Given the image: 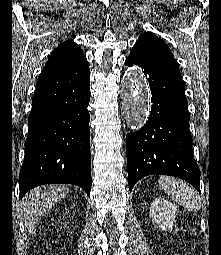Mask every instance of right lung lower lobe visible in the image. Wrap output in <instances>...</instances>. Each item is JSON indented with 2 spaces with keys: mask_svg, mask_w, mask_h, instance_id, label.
Masks as SVG:
<instances>
[{
  "mask_svg": "<svg viewBox=\"0 0 221 255\" xmlns=\"http://www.w3.org/2000/svg\"><path fill=\"white\" fill-rule=\"evenodd\" d=\"M90 69L86 57L40 77L28 120L19 174L20 199L30 189L68 183L91 190Z\"/></svg>",
  "mask_w": 221,
  "mask_h": 255,
  "instance_id": "98d812e1",
  "label": "right lung lower lobe"
}]
</instances>
